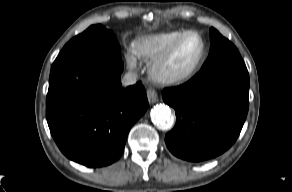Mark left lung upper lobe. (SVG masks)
<instances>
[{
	"label": "left lung upper lobe",
	"mask_w": 292,
	"mask_h": 192,
	"mask_svg": "<svg viewBox=\"0 0 292 192\" xmlns=\"http://www.w3.org/2000/svg\"><path fill=\"white\" fill-rule=\"evenodd\" d=\"M211 48L202 70L222 65L244 64L237 48L216 29H210Z\"/></svg>",
	"instance_id": "obj_1"
}]
</instances>
